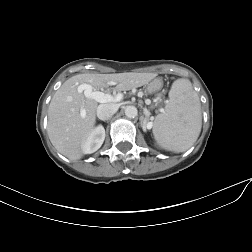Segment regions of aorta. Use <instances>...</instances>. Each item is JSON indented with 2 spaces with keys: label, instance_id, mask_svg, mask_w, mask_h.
<instances>
[{
  "label": "aorta",
  "instance_id": "aorta-1",
  "mask_svg": "<svg viewBox=\"0 0 252 252\" xmlns=\"http://www.w3.org/2000/svg\"><path fill=\"white\" fill-rule=\"evenodd\" d=\"M138 114V110L135 106H126L125 108V115L128 118H135Z\"/></svg>",
  "mask_w": 252,
  "mask_h": 252
}]
</instances>
